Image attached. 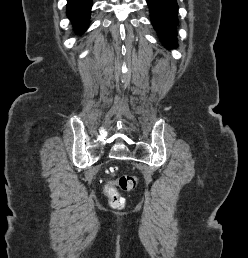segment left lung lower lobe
<instances>
[{"instance_id": "left-lung-lower-lobe-1", "label": "left lung lower lobe", "mask_w": 248, "mask_h": 258, "mask_svg": "<svg viewBox=\"0 0 248 258\" xmlns=\"http://www.w3.org/2000/svg\"><path fill=\"white\" fill-rule=\"evenodd\" d=\"M151 22L168 47L176 46V30L178 23L176 0H147Z\"/></svg>"}]
</instances>
